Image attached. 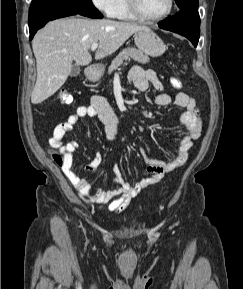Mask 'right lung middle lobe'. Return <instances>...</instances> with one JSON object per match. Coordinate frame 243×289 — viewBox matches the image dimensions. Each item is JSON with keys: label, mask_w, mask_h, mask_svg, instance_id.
<instances>
[{"label": "right lung middle lobe", "mask_w": 243, "mask_h": 289, "mask_svg": "<svg viewBox=\"0 0 243 289\" xmlns=\"http://www.w3.org/2000/svg\"><path fill=\"white\" fill-rule=\"evenodd\" d=\"M60 1H72V2L81 3L85 5H93L91 0H60Z\"/></svg>", "instance_id": "right-lung-middle-lobe-1"}]
</instances>
